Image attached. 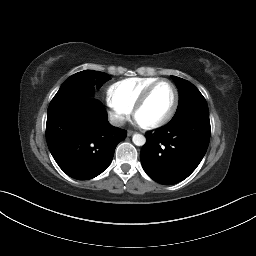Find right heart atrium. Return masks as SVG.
<instances>
[{
    "label": "right heart atrium",
    "instance_id": "1",
    "mask_svg": "<svg viewBox=\"0 0 256 256\" xmlns=\"http://www.w3.org/2000/svg\"><path fill=\"white\" fill-rule=\"evenodd\" d=\"M109 117L116 125H122L131 115V110L108 101Z\"/></svg>",
    "mask_w": 256,
    "mask_h": 256
}]
</instances>
